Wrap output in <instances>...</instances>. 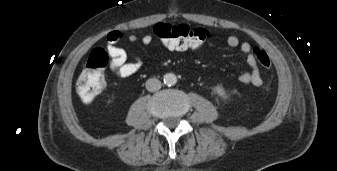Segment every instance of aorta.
<instances>
[{"mask_svg":"<svg viewBox=\"0 0 337 171\" xmlns=\"http://www.w3.org/2000/svg\"><path fill=\"white\" fill-rule=\"evenodd\" d=\"M164 83L168 86H173L177 83V77L173 73H168L164 75Z\"/></svg>","mask_w":337,"mask_h":171,"instance_id":"762f6f07","label":"aorta"}]
</instances>
